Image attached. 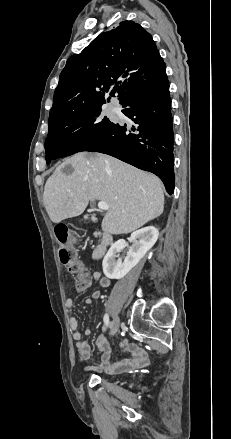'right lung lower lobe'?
<instances>
[{"label":"right lung lower lobe","instance_id":"1","mask_svg":"<svg viewBox=\"0 0 231 439\" xmlns=\"http://www.w3.org/2000/svg\"><path fill=\"white\" fill-rule=\"evenodd\" d=\"M122 107L131 124H115L85 151L105 153L152 172L172 194L174 134L168 79L135 93Z\"/></svg>","mask_w":231,"mask_h":439}]
</instances>
